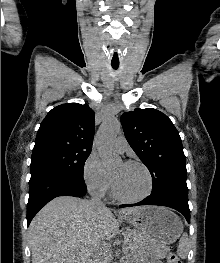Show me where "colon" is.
Here are the masks:
<instances>
[{
	"label": "colon",
	"instance_id": "1",
	"mask_svg": "<svg viewBox=\"0 0 220 263\" xmlns=\"http://www.w3.org/2000/svg\"><path fill=\"white\" fill-rule=\"evenodd\" d=\"M168 263H182L180 258L175 254H170L168 257Z\"/></svg>",
	"mask_w": 220,
	"mask_h": 263
}]
</instances>
